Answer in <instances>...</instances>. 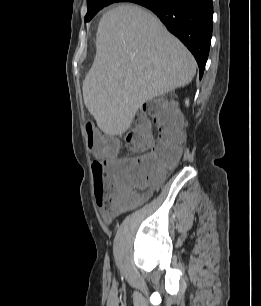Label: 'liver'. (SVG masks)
I'll return each mask as SVG.
<instances>
[{
	"label": "liver",
	"mask_w": 261,
	"mask_h": 306,
	"mask_svg": "<svg viewBox=\"0 0 261 306\" xmlns=\"http://www.w3.org/2000/svg\"><path fill=\"white\" fill-rule=\"evenodd\" d=\"M195 73L192 54L156 16L121 5L99 22L84 104L104 133L121 135L143 103L189 84Z\"/></svg>",
	"instance_id": "1"
}]
</instances>
